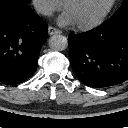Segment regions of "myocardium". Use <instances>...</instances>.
<instances>
[{"instance_id": "myocardium-1", "label": "myocardium", "mask_w": 128, "mask_h": 128, "mask_svg": "<svg viewBox=\"0 0 128 128\" xmlns=\"http://www.w3.org/2000/svg\"><path fill=\"white\" fill-rule=\"evenodd\" d=\"M75 0H65L64 1V10L66 11L69 5H71ZM117 0H110L106 8L102 11V13L95 18L94 20L84 23V24H76V28L82 31L91 30L97 26H99L101 23L104 22V20L107 18L109 13L112 11L116 4Z\"/></svg>"}]
</instances>
